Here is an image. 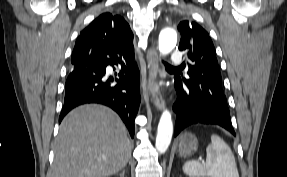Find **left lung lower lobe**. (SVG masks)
I'll return each instance as SVG.
<instances>
[{"mask_svg": "<svg viewBox=\"0 0 287 177\" xmlns=\"http://www.w3.org/2000/svg\"><path fill=\"white\" fill-rule=\"evenodd\" d=\"M175 89L177 91V101L174 104L175 136L185 127L196 123L218 124L235 135L222 89L208 87L203 91L200 86L179 76L175 77Z\"/></svg>", "mask_w": 287, "mask_h": 177, "instance_id": "0a47b994", "label": "left lung lower lobe"}]
</instances>
